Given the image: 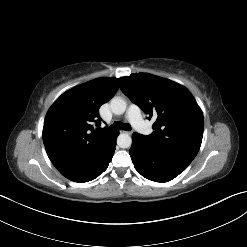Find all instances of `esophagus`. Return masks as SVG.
<instances>
[{
    "instance_id": "esophagus-1",
    "label": "esophagus",
    "mask_w": 247,
    "mask_h": 247,
    "mask_svg": "<svg viewBox=\"0 0 247 247\" xmlns=\"http://www.w3.org/2000/svg\"><path fill=\"white\" fill-rule=\"evenodd\" d=\"M123 133L131 134L132 132L130 131H122Z\"/></svg>"
}]
</instances>
